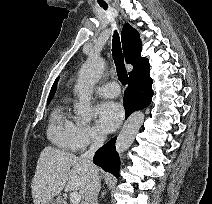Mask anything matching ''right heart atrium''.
Instances as JSON below:
<instances>
[{
    "label": "right heart atrium",
    "instance_id": "1",
    "mask_svg": "<svg viewBox=\"0 0 212 204\" xmlns=\"http://www.w3.org/2000/svg\"><path fill=\"white\" fill-rule=\"evenodd\" d=\"M102 140L101 132L94 126L79 125L75 134V146L76 151H81L87 147L97 144Z\"/></svg>",
    "mask_w": 212,
    "mask_h": 204
}]
</instances>
